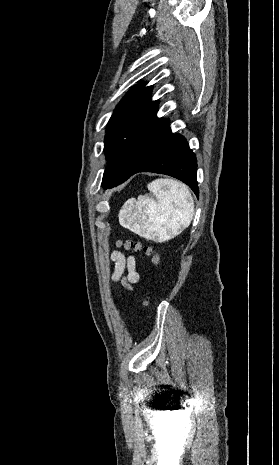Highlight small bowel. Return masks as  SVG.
I'll use <instances>...</instances> for the list:
<instances>
[{
  "instance_id": "c3829d8e",
  "label": "small bowel",
  "mask_w": 279,
  "mask_h": 465,
  "mask_svg": "<svg viewBox=\"0 0 279 465\" xmlns=\"http://www.w3.org/2000/svg\"><path fill=\"white\" fill-rule=\"evenodd\" d=\"M111 260L114 262L113 280L120 283L125 290H132L133 285L139 280L135 258L113 251Z\"/></svg>"
}]
</instances>
